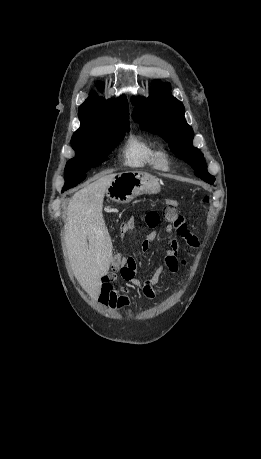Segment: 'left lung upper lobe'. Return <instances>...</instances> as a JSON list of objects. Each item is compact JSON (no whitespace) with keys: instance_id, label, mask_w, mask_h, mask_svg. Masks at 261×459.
I'll use <instances>...</instances> for the list:
<instances>
[{"instance_id":"1","label":"left lung upper lobe","mask_w":261,"mask_h":459,"mask_svg":"<svg viewBox=\"0 0 261 459\" xmlns=\"http://www.w3.org/2000/svg\"><path fill=\"white\" fill-rule=\"evenodd\" d=\"M132 102L136 105L132 113L134 121L143 130L164 138L175 155L194 169L196 176L213 184L215 178L207 172L203 154L192 146L194 133L184 118V106L171 95L170 85L156 81L148 98L138 97Z\"/></svg>"}]
</instances>
